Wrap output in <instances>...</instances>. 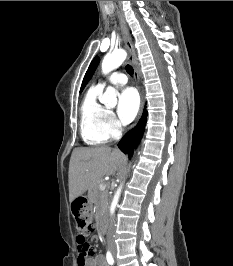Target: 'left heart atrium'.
Instances as JSON below:
<instances>
[{
    "mask_svg": "<svg viewBox=\"0 0 233 266\" xmlns=\"http://www.w3.org/2000/svg\"><path fill=\"white\" fill-rule=\"evenodd\" d=\"M139 110V96L135 89L128 87L119 95L117 113L119 119L124 123H130Z\"/></svg>",
    "mask_w": 233,
    "mask_h": 266,
    "instance_id": "left-heart-atrium-1",
    "label": "left heart atrium"
}]
</instances>
